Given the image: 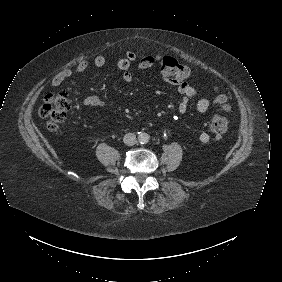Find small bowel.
Returning <instances> with one entry per match:
<instances>
[{
	"label": "small bowel",
	"mask_w": 282,
	"mask_h": 282,
	"mask_svg": "<svg viewBox=\"0 0 282 282\" xmlns=\"http://www.w3.org/2000/svg\"><path fill=\"white\" fill-rule=\"evenodd\" d=\"M136 59L137 56L134 52L127 51L124 54V56L119 58L117 61V67L122 71V79L126 83H130L133 80V75L129 69L131 64L135 62ZM105 63H106V59L102 55L96 56L93 60V64L96 67H103ZM154 64H155L154 57L145 56L138 61V68L140 70H147L153 67ZM88 68H89V62L87 60H82L73 68H66L56 73L52 77L50 81V85L53 88L58 87L67 79L73 77L74 75L85 72ZM162 79L166 83H169L177 87L178 92L181 96L177 106L179 113L185 114L188 111L191 100H196V111L198 113H205L208 110L210 106L209 99L200 96L199 91L195 87L188 84L185 80L177 81L173 79L171 76H166V75H163ZM82 105L86 107H101L103 105V101L101 100L100 97L96 95H91L83 100ZM198 140L202 144H207L210 141V136L207 132H201L198 136Z\"/></svg>",
	"instance_id": "obj_1"
}]
</instances>
